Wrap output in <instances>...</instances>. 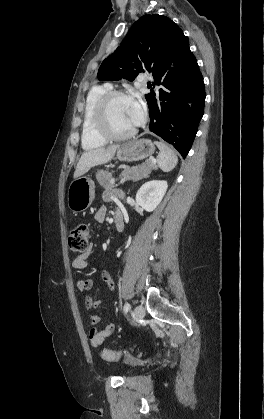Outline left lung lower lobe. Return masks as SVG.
<instances>
[{
	"instance_id": "left-lung-lower-lobe-1",
	"label": "left lung lower lobe",
	"mask_w": 264,
	"mask_h": 419,
	"mask_svg": "<svg viewBox=\"0 0 264 419\" xmlns=\"http://www.w3.org/2000/svg\"><path fill=\"white\" fill-rule=\"evenodd\" d=\"M154 79L160 88L146 95L150 131L172 144L185 158L203 116L205 89L183 33L168 45L163 68Z\"/></svg>"
}]
</instances>
